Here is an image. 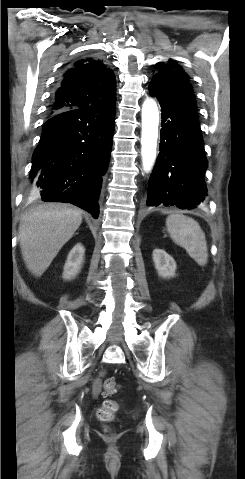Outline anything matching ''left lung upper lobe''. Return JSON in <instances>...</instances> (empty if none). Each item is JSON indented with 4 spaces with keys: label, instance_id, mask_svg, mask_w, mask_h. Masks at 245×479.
I'll list each match as a JSON object with an SVG mask.
<instances>
[{
    "label": "left lung upper lobe",
    "instance_id": "obj_1",
    "mask_svg": "<svg viewBox=\"0 0 245 479\" xmlns=\"http://www.w3.org/2000/svg\"><path fill=\"white\" fill-rule=\"evenodd\" d=\"M158 69L152 79H164L166 81H173L179 78L189 79L188 75L174 60H169L167 64L157 63L155 66Z\"/></svg>",
    "mask_w": 245,
    "mask_h": 479
}]
</instances>
